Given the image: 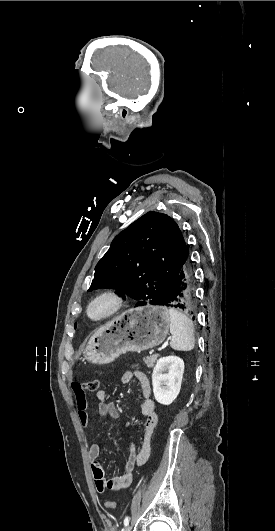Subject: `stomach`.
Segmentation results:
<instances>
[{
    "label": "stomach",
    "instance_id": "stomach-1",
    "mask_svg": "<svg viewBox=\"0 0 275 531\" xmlns=\"http://www.w3.org/2000/svg\"><path fill=\"white\" fill-rule=\"evenodd\" d=\"M169 327V311L161 301H142L141 307L128 309L97 329L89 339L84 357L92 365H106L125 351H148L165 341Z\"/></svg>",
    "mask_w": 275,
    "mask_h": 531
}]
</instances>
